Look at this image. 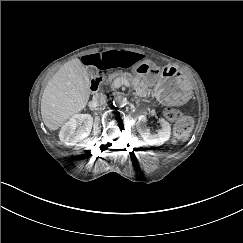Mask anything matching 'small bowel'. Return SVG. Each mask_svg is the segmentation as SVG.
I'll list each match as a JSON object with an SVG mask.
<instances>
[{
  "instance_id": "obj_1",
  "label": "small bowel",
  "mask_w": 243,
  "mask_h": 243,
  "mask_svg": "<svg viewBox=\"0 0 243 243\" xmlns=\"http://www.w3.org/2000/svg\"><path fill=\"white\" fill-rule=\"evenodd\" d=\"M140 54L127 50H108L85 55L82 58L86 66L92 68H130L141 61Z\"/></svg>"
}]
</instances>
